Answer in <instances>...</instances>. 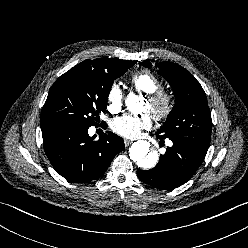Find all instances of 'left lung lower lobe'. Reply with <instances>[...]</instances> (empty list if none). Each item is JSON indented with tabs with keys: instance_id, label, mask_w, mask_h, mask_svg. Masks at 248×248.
Wrapping results in <instances>:
<instances>
[{
	"instance_id": "1",
	"label": "left lung lower lobe",
	"mask_w": 248,
	"mask_h": 248,
	"mask_svg": "<svg viewBox=\"0 0 248 248\" xmlns=\"http://www.w3.org/2000/svg\"><path fill=\"white\" fill-rule=\"evenodd\" d=\"M157 137L160 138L158 135ZM173 146L160 156L158 164L150 170H137L138 177L158 189H174L186 183L203 162L207 151L194 149L172 140Z\"/></svg>"
}]
</instances>
